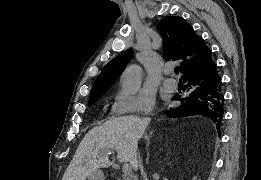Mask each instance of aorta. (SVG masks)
<instances>
[{
    "label": "aorta",
    "instance_id": "aorta-1",
    "mask_svg": "<svg viewBox=\"0 0 261 180\" xmlns=\"http://www.w3.org/2000/svg\"><path fill=\"white\" fill-rule=\"evenodd\" d=\"M142 70L138 65L128 66L122 74V87L128 91L136 92L141 85Z\"/></svg>",
    "mask_w": 261,
    "mask_h": 180
}]
</instances>
